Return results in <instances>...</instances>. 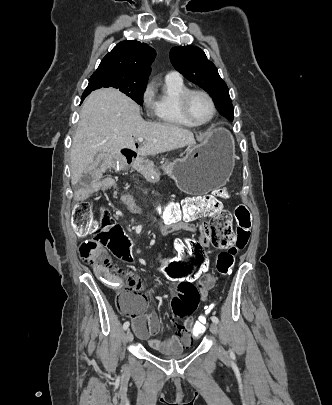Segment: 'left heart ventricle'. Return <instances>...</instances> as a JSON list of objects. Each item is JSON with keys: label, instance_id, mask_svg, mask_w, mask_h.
Masks as SVG:
<instances>
[{"label": "left heart ventricle", "instance_id": "b2bd125f", "mask_svg": "<svg viewBox=\"0 0 332 405\" xmlns=\"http://www.w3.org/2000/svg\"><path fill=\"white\" fill-rule=\"evenodd\" d=\"M189 112L196 121H205L212 114V106L205 96L194 94L189 100Z\"/></svg>", "mask_w": 332, "mask_h": 405}]
</instances>
